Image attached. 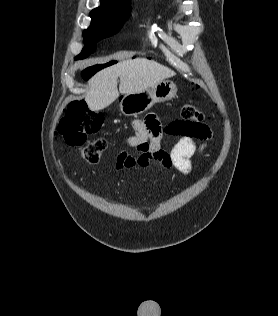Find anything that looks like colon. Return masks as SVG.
<instances>
[{
	"mask_svg": "<svg viewBox=\"0 0 278 316\" xmlns=\"http://www.w3.org/2000/svg\"><path fill=\"white\" fill-rule=\"evenodd\" d=\"M181 120L169 127L175 135L198 136L206 126L209 116L191 104H184L180 110ZM104 122L99 111L89 110L83 100L71 102L65 116L60 120L58 133L70 146H82V156L89 163H95L107 147L103 138L86 143L87 136L97 132Z\"/></svg>",
	"mask_w": 278,
	"mask_h": 316,
	"instance_id": "colon-1",
	"label": "colon"
}]
</instances>
